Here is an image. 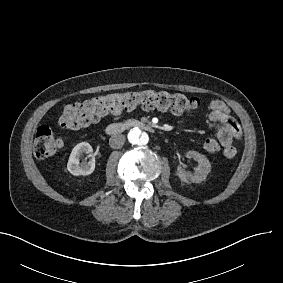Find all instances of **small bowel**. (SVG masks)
Returning <instances> with one entry per match:
<instances>
[{"instance_id":"c3829d8e","label":"small bowel","mask_w":283,"mask_h":283,"mask_svg":"<svg viewBox=\"0 0 283 283\" xmlns=\"http://www.w3.org/2000/svg\"><path fill=\"white\" fill-rule=\"evenodd\" d=\"M209 119L216 124V137L222 143L223 155L233 159L237 155L235 142L241 138V127L231 116L228 105L221 100L209 103Z\"/></svg>"}]
</instances>
